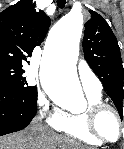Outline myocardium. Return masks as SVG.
Listing matches in <instances>:
<instances>
[{"mask_svg":"<svg viewBox=\"0 0 124 149\" xmlns=\"http://www.w3.org/2000/svg\"><path fill=\"white\" fill-rule=\"evenodd\" d=\"M111 111L115 116L119 125V134L115 140L106 138L98 128V120L102 113ZM86 117V124L89 132L93 137L102 143L113 144L119 142L124 137V120L119 111L111 104L105 102L90 103L84 111Z\"/></svg>","mask_w":124,"mask_h":149,"instance_id":"obj_1","label":"myocardium"}]
</instances>
